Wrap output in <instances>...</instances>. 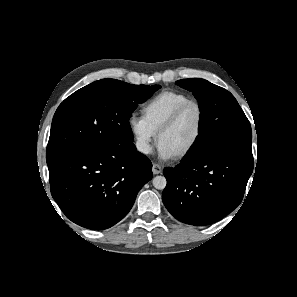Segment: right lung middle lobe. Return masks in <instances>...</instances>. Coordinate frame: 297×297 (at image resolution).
<instances>
[{"mask_svg": "<svg viewBox=\"0 0 297 297\" xmlns=\"http://www.w3.org/2000/svg\"><path fill=\"white\" fill-rule=\"evenodd\" d=\"M160 85L102 79L66 98L56 110L46 151L50 163L82 148L133 141L129 118Z\"/></svg>", "mask_w": 297, "mask_h": 297, "instance_id": "obj_1", "label": "right lung middle lobe"}]
</instances>
